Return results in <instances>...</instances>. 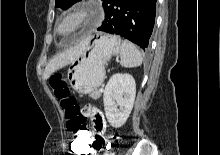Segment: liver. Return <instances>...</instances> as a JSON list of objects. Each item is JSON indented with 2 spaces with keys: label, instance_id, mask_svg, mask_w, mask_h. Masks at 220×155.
<instances>
[{
  "label": "liver",
  "instance_id": "1",
  "mask_svg": "<svg viewBox=\"0 0 220 155\" xmlns=\"http://www.w3.org/2000/svg\"><path fill=\"white\" fill-rule=\"evenodd\" d=\"M88 45V41H84L83 43L69 48L66 51H63L62 53L55 56L46 66L43 78L46 80L48 79L51 74H53L56 70L66 66L67 64H70L74 62L76 59H78L85 48Z\"/></svg>",
  "mask_w": 220,
  "mask_h": 155
}]
</instances>
